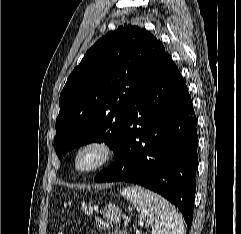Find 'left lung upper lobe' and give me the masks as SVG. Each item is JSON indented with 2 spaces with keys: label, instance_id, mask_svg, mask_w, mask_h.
I'll use <instances>...</instances> for the list:
<instances>
[{
  "label": "left lung upper lobe",
  "instance_id": "1",
  "mask_svg": "<svg viewBox=\"0 0 241 234\" xmlns=\"http://www.w3.org/2000/svg\"><path fill=\"white\" fill-rule=\"evenodd\" d=\"M164 54L162 42L138 26L125 24L100 38L60 94L58 157L90 142H105L115 152L128 109Z\"/></svg>",
  "mask_w": 241,
  "mask_h": 234
}]
</instances>
